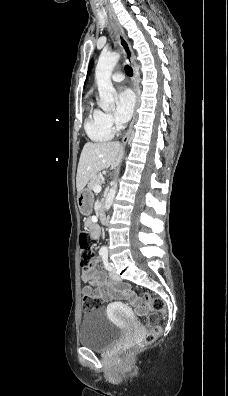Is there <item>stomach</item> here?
I'll return each instance as SVG.
<instances>
[{
  "label": "stomach",
  "instance_id": "0dacf381",
  "mask_svg": "<svg viewBox=\"0 0 228 396\" xmlns=\"http://www.w3.org/2000/svg\"><path fill=\"white\" fill-rule=\"evenodd\" d=\"M94 195L92 190L85 188L77 195V204L81 214L88 216L92 212Z\"/></svg>",
  "mask_w": 228,
  "mask_h": 396
}]
</instances>
